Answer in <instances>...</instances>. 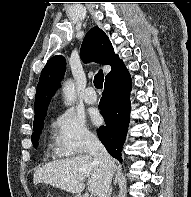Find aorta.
Listing matches in <instances>:
<instances>
[{"mask_svg":"<svg viewBox=\"0 0 191 197\" xmlns=\"http://www.w3.org/2000/svg\"><path fill=\"white\" fill-rule=\"evenodd\" d=\"M63 96L66 105H71L75 100V86L72 80H68L63 86Z\"/></svg>","mask_w":191,"mask_h":197,"instance_id":"1","label":"aorta"}]
</instances>
